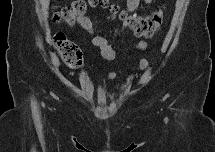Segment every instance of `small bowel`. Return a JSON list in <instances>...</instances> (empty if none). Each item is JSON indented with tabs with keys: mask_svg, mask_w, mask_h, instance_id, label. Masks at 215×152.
<instances>
[{
	"mask_svg": "<svg viewBox=\"0 0 215 152\" xmlns=\"http://www.w3.org/2000/svg\"><path fill=\"white\" fill-rule=\"evenodd\" d=\"M149 2H150V0H146V3H149ZM139 5H140V0H129L127 3L128 9H129L130 13H132V14H134L137 11V9L139 8ZM77 23L89 35L92 36V39H91L92 44L95 47L100 49V53L105 60L113 61L116 59L117 52L112 48V46L109 44L108 40L103 36L94 34V32H95L94 26H93L91 19L88 16L79 17L77 19ZM146 47H147V44L144 41H140L136 45V49H138V50H144V49H146ZM148 67H149L148 61L146 59H142L140 61L139 68L141 70H147ZM107 78L109 80H113L115 78V74L110 72V73H108Z\"/></svg>",
	"mask_w": 215,
	"mask_h": 152,
	"instance_id": "obj_1",
	"label": "small bowel"
}]
</instances>
